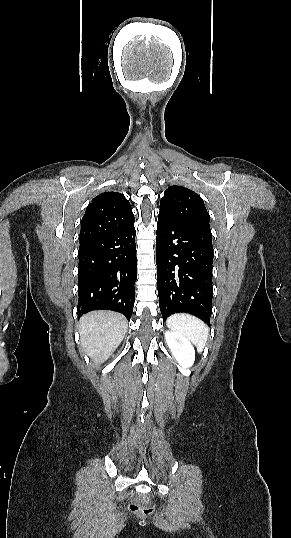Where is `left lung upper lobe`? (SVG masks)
I'll list each match as a JSON object with an SVG mask.
<instances>
[{
  "instance_id": "1",
  "label": "left lung upper lobe",
  "mask_w": 291,
  "mask_h": 538,
  "mask_svg": "<svg viewBox=\"0 0 291 538\" xmlns=\"http://www.w3.org/2000/svg\"><path fill=\"white\" fill-rule=\"evenodd\" d=\"M175 221L210 230L209 214L202 198L182 186H170L160 201V212Z\"/></svg>"
}]
</instances>
